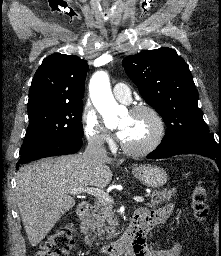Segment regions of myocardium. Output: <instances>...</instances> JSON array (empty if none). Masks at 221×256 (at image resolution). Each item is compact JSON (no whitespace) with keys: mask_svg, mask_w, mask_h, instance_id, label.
<instances>
[{"mask_svg":"<svg viewBox=\"0 0 221 256\" xmlns=\"http://www.w3.org/2000/svg\"><path fill=\"white\" fill-rule=\"evenodd\" d=\"M129 113L134 115L138 113L148 114L154 121L155 133L150 141L141 146H131L124 141L121 142V147L124 151L130 154L142 155L154 151L163 141L166 134V124L162 115L157 109L147 104H139L131 107Z\"/></svg>","mask_w":221,"mask_h":256,"instance_id":"obj_1","label":"myocardium"}]
</instances>
